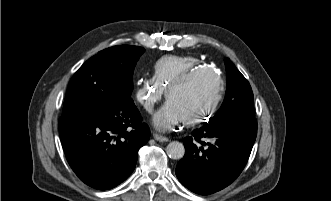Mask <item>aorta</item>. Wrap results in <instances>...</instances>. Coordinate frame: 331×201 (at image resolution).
Here are the masks:
<instances>
[{
    "label": "aorta",
    "instance_id": "obj_1",
    "mask_svg": "<svg viewBox=\"0 0 331 201\" xmlns=\"http://www.w3.org/2000/svg\"><path fill=\"white\" fill-rule=\"evenodd\" d=\"M168 156L172 159H181L185 154L184 145L178 141H173L166 148Z\"/></svg>",
    "mask_w": 331,
    "mask_h": 201
}]
</instances>
